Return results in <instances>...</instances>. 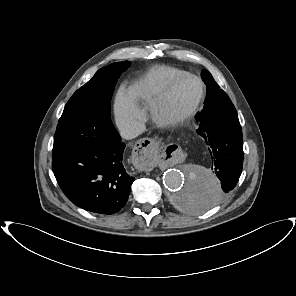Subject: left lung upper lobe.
<instances>
[{
  "instance_id": "1",
  "label": "left lung upper lobe",
  "mask_w": 296,
  "mask_h": 296,
  "mask_svg": "<svg viewBox=\"0 0 296 296\" xmlns=\"http://www.w3.org/2000/svg\"><path fill=\"white\" fill-rule=\"evenodd\" d=\"M201 76L207 85V95L204 105H207L209 102H211L213 98L226 94L223 90L219 89V85L215 82L209 71L203 70Z\"/></svg>"
}]
</instances>
